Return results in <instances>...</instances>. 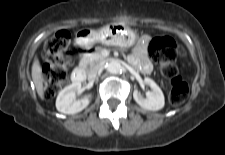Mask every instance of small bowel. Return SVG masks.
Returning a JSON list of instances; mask_svg holds the SVG:
<instances>
[{"label": "small bowel", "instance_id": "small-bowel-1", "mask_svg": "<svg viewBox=\"0 0 225 155\" xmlns=\"http://www.w3.org/2000/svg\"><path fill=\"white\" fill-rule=\"evenodd\" d=\"M148 38H143L133 49L130 56L131 63L143 73H150L153 69L152 63L147 56Z\"/></svg>", "mask_w": 225, "mask_h": 155}]
</instances>
